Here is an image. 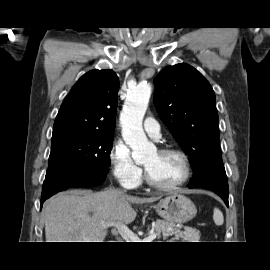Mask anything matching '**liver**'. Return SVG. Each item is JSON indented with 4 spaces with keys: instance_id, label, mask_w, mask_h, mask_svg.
<instances>
[{
    "instance_id": "obj_1",
    "label": "liver",
    "mask_w": 270,
    "mask_h": 270,
    "mask_svg": "<svg viewBox=\"0 0 270 270\" xmlns=\"http://www.w3.org/2000/svg\"><path fill=\"white\" fill-rule=\"evenodd\" d=\"M158 199L129 196L113 189L59 193L45 204L46 242H104L108 230L102 223L130 224L137 216L131 204Z\"/></svg>"
}]
</instances>
